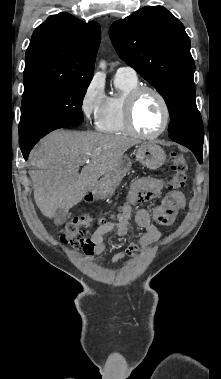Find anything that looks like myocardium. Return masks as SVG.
<instances>
[{
	"mask_svg": "<svg viewBox=\"0 0 221 379\" xmlns=\"http://www.w3.org/2000/svg\"><path fill=\"white\" fill-rule=\"evenodd\" d=\"M147 92L152 93L157 97V99L160 102L162 112H163V120H162L161 127L156 132L151 133V134L142 133L141 131H139L134 121V109H135L136 102L142 94L147 93ZM124 121L129 133L139 138L155 139L159 137L166 131L170 122V110H169V106L164 95L158 89L152 86L143 85V86L135 87L127 94L125 98Z\"/></svg>",
	"mask_w": 221,
	"mask_h": 379,
	"instance_id": "obj_1",
	"label": "myocardium"
}]
</instances>
